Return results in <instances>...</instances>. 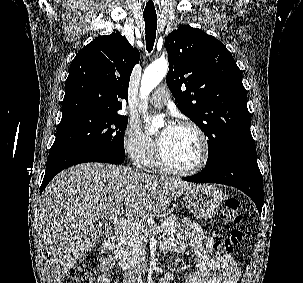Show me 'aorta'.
Here are the masks:
<instances>
[{
    "label": "aorta",
    "mask_w": 303,
    "mask_h": 283,
    "mask_svg": "<svg viewBox=\"0 0 303 283\" xmlns=\"http://www.w3.org/2000/svg\"><path fill=\"white\" fill-rule=\"evenodd\" d=\"M168 71V63L166 60H157L149 65L142 76L140 95L141 99L146 102V99L150 92L157 87V85L162 81ZM144 108H147V103L144 104ZM163 125V120L161 118H154L151 121V126L149 127V133H154L155 130Z\"/></svg>",
    "instance_id": "aorta-1"
}]
</instances>
